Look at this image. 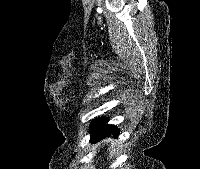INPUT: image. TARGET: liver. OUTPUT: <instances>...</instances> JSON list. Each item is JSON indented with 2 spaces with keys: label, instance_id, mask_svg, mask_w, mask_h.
I'll list each match as a JSON object with an SVG mask.
<instances>
[{
  "label": "liver",
  "instance_id": "1",
  "mask_svg": "<svg viewBox=\"0 0 200 169\" xmlns=\"http://www.w3.org/2000/svg\"><path fill=\"white\" fill-rule=\"evenodd\" d=\"M104 142L107 143V144H111L110 145L111 149L115 148V144L112 143V139L111 138H108V139L104 140Z\"/></svg>",
  "mask_w": 200,
  "mask_h": 169
}]
</instances>
